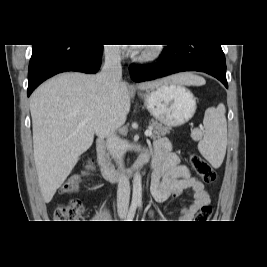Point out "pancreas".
Listing matches in <instances>:
<instances>
[{
  "label": "pancreas",
  "mask_w": 267,
  "mask_h": 267,
  "mask_svg": "<svg viewBox=\"0 0 267 267\" xmlns=\"http://www.w3.org/2000/svg\"><path fill=\"white\" fill-rule=\"evenodd\" d=\"M150 126L153 129V134H152L153 139L165 136L166 134L170 133L171 130V127L163 126L162 124L156 121H152Z\"/></svg>",
  "instance_id": "1"
}]
</instances>
